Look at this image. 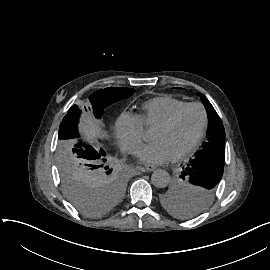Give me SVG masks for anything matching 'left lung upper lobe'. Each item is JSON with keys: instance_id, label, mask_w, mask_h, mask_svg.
Returning <instances> with one entry per match:
<instances>
[{"instance_id": "1", "label": "left lung upper lobe", "mask_w": 270, "mask_h": 270, "mask_svg": "<svg viewBox=\"0 0 270 270\" xmlns=\"http://www.w3.org/2000/svg\"><path fill=\"white\" fill-rule=\"evenodd\" d=\"M208 113L207 141L181 172L180 178L161 194L163 206L172 214L192 218L211 203L223 175L225 130L217 112L200 94Z\"/></svg>"}]
</instances>
